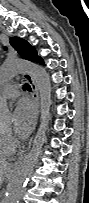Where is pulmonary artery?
<instances>
[{
    "label": "pulmonary artery",
    "instance_id": "e3ab8cb5",
    "mask_svg": "<svg viewBox=\"0 0 89 203\" xmlns=\"http://www.w3.org/2000/svg\"><path fill=\"white\" fill-rule=\"evenodd\" d=\"M18 96H19L18 87L13 84L7 85L1 93V97L3 100L14 99Z\"/></svg>",
    "mask_w": 89,
    "mask_h": 203
}]
</instances>
